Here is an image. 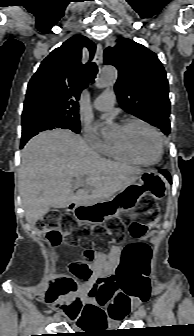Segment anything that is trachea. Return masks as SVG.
<instances>
[{
    "mask_svg": "<svg viewBox=\"0 0 194 336\" xmlns=\"http://www.w3.org/2000/svg\"><path fill=\"white\" fill-rule=\"evenodd\" d=\"M98 73L97 65L93 62L88 67V77L93 82L96 78V74Z\"/></svg>",
    "mask_w": 194,
    "mask_h": 336,
    "instance_id": "1",
    "label": "trachea"
}]
</instances>
